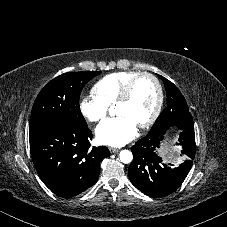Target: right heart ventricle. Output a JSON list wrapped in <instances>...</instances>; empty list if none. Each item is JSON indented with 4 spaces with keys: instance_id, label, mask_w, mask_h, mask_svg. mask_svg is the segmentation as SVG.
Listing matches in <instances>:
<instances>
[{
    "instance_id": "right-heart-ventricle-1",
    "label": "right heart ventricle",
    "mask_w": 227,
    "mask_h": 227,
    "mask_svg": "<svg viewBox=\"0 0 227 227\" xmlns=\"http://www.w3.org/2000/svg\"><path fill=\"white\" fill-rule=\"evenodd\" d=\"M137 74L135 71H118L101 78L93 87V92L108 107L113 106L128 81Z\"/></svg>"
}]
</instances>
